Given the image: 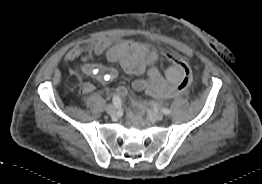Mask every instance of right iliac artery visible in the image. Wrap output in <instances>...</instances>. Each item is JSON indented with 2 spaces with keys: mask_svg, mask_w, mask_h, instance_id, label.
<instances>
[{
  "mask_svg": "<svg viewBox=\"0 0 262 184\" xmlns=\"http://www.w3.org/2000/svg\"><path fill=\"white\" fill-rule=\"evenodd\" d=\"M112 101L115 107H120L122 104L121 99L118 95H114Z\"/></svg>",
  "mask_w": 262,
  "mask_h": 184,
  "instance_id": "obj_1",
  "label": "right iliac artery"
}]
</instances>
